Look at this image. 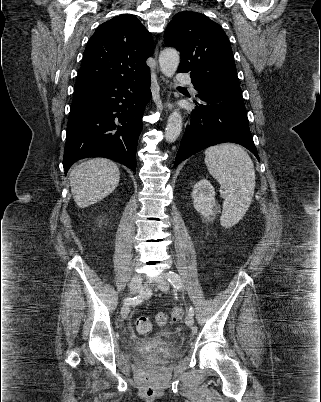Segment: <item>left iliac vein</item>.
Masks as SVG:
<instances>
[{"label": "left iliac vein", "instance_id": "4c4485c4", "mask_svg": "<svg viewBox=\"0 0 321 402\" xmlns=\"http://www.w3.org/2000/svg\"><path fill=\"white\" fill-rule=\"evenodd\" d=\"M157 286H158V288H159L161 291H163V292H168L170 285H169V282H168L167 277H166L165 274H162V275L159 277V279H158V281H157ZM185 323H186L189 327H192V326L194 325V319H193V317L188 314V315L186 316V318H185Z\"/></svg>", "mask_w": 321, "mask_h": 402}]
</instances>
